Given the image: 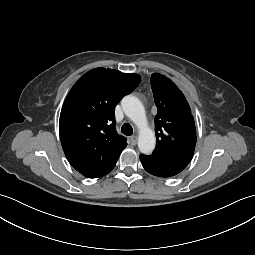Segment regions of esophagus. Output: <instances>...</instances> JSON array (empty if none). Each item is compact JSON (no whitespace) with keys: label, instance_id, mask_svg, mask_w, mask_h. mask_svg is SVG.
I'll return each mask as SVG.
<instances>
[{"label":"esophagus","instance_id":"obj_1","mask_svg":"<svg viewBox=\"0 0 255 255\" xmlns=\"http://www.w3.org/2000/svg\"><path fill=\"white\" fill-rule=\"evenodd\" d=\"M130 143L132 145H136L137 144V136L133 135L130 137Z\"/></svg>","mask_w":255,"mask_h":255}]
</instances>
